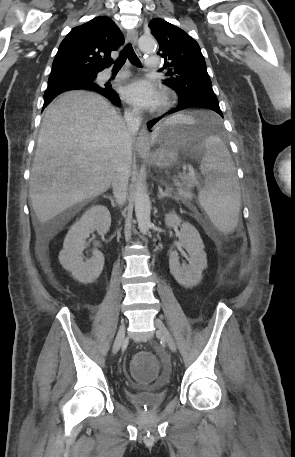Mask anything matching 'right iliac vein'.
I'll return each mask as SVG.
<instances>
[{"label":"right iliac vein","instance_id":"right-iliac-vein-1","mask_svg":"<svg viewBox=\"0 0 295 457\" xmlns=\"http://www.w3.org/2000/svg\"><path fill=\"white\" fill-rule=\"evenodd\" d=\"M124 338H125V324L122 321V323L119 327V330L117 332L115 341H114L113 353H117L119 351L120 347L123 344Z\"/></svg>","mask_w":295,"mask_h":457}]
</instances>
